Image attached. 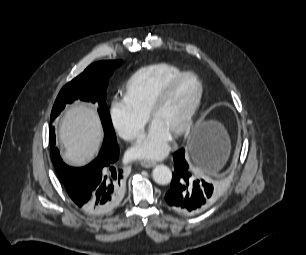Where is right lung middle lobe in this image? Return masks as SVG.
<instances>
[{
  "mask_svg": "<svg viewBox=\"0 0 306 255\" xmlns=\"http://www.w3.org/2000/svg\"><path fill=\"white\" fill-rule=\"evenodd\" d=\"M121 64V60L93 63L87 67L82 74L66 84L60 91L54 103L51 112V123L64 109L66 103H72L76 99L92 103L97 102L99 105L98 113L105 134L103 143L116 142L115 132L105 100L108 79L112 75L114 69L119 67ZM49 138L51 148L55 147L54 127H50ZM51 153H53L51 154V158L57 172L58 169L56 167L62 162V160L59 156L58 150L51 149Z\"/></svg>",
  "mask_w": 306,
  "mask_h": 255,
  "instance_id": "dd1d6c3e",
  "label": "right lung middle lobe"
}]
</instances>
